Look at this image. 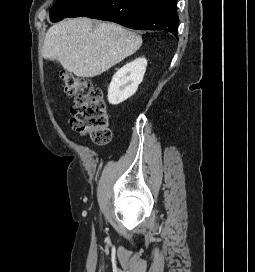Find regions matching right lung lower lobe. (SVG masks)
<instances>
[{
    "mask_svg": "<svg viewBox=\"0 0 255 272\" xmlns=\"http://www.w3.org/2000/svg\"><path fill=\"white\" fill-rule=\"evenodd\" d=\"M90 17L131 29L165 30L178 35L176 0H90L68 16Z\"/></svg>",
    "mask_w": 255,
    "mask_h": 272,
    "instance_id": "obj_1",
    "label": "right lung lower lobe"
}]
</instances>
